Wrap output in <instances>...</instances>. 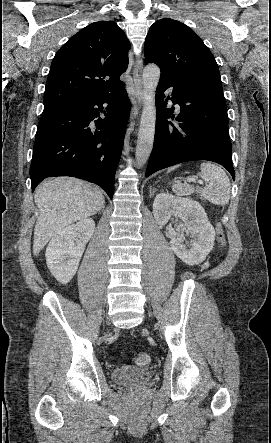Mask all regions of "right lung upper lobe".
Masks as SVG:
<instances>
[{
  "instance_id": "1",
  "label": "right lung upper lobe",
  "mask_w": 271,
  "mask_h": 443,
  "mask_svg": "<svg viewBox=\"0 0 271 443\" xmlns=\"http://www.w3.org/2000/svg\"><path fill=\"white\" fill-rule=\"evenodd\" d=\"M129 41L113 21H98L72 36L56 53L46 82L44 106L114 94L128 67Z\"/></svg>"
}]
</instances>
